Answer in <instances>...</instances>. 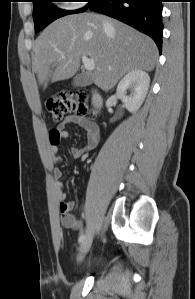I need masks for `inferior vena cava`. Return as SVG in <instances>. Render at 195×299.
Instances as JSON below:
<instances>
[{"label":"inferior vena cava","mask_w":195,"mask_h":299,"mask_svg":"<svg viewBox=\"0 0 195 299\" xmlns=\"http://www.w3.org/2000/svg\"><path fill=\"white\" fill-rule=\"evenodd\" d=\"M103 26H104V28H109L110 27L109 23L106 22V21L103 22Z\"/></svg>","instance_id":"inferior-vena-cava-1"}]
</instances>
